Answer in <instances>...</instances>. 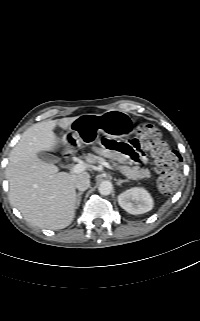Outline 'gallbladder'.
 I'll return each mask as SVG.
<instances>
[{"instance_id": "obj_1", "label": "gallbladder", "mask_w": 200, "mask_h": 321, "mask_svg": "<svg viewBox=\"0 0 200 321\" xmlns=\"http://www.w3.org/2000/svg\"><path fill=\"white\" fill-rule=\"evenodd\" d=\"M38 157L41 160H43L45 162H49V163H58L60 161V158H58L50 153H47V152H39Z\"/></svg>"}]
</instances>
